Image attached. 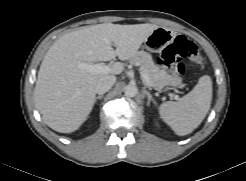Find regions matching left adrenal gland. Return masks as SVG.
Here are the masks:
<instances>
[{"mask_svg":"<svg viewBox=\"0 0 246 181\" xmlns=\"http://www.w3.org/2000/svg\"><path fill=\"white\" fill-rule=\"evenodd\" d=\"M143 93H144L145 95H147V97H148V102H147V105H148V106H150L151 101L153 102V104L156 105V102H155V100L153 99V97H152V95L150 94V92H148V91L144 88V89H143Z\"/></svg>","mask_w":246,"mask_h":181,"instance_id":"left-adrenal-gland-1","label":"left adrenal gland"}]
</instances>
